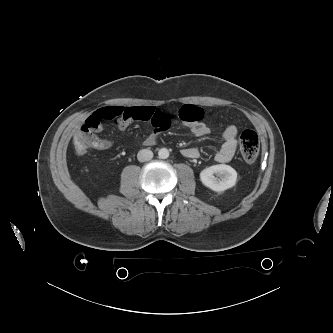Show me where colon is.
<instances>
[{
    "instance_id": "1",
    "label": "colon",
    "mask_w": 333,
    "mask_h": 333,
    "mask_svg": "<svg viewBox=\"0 0 333 333\" xmlns=\"http://www.w3.org/2000/svg\"><path fill=\"white\" fill-rule=\"evenodd\" d=\"M75 151L78 154H84L87 150V144L84 139L75 137L73 140ZM240 152L244 160L248 163L254 162L260 149V142L255 131L247 129L240 135Z\"/></svg>"
}]
</instances>
